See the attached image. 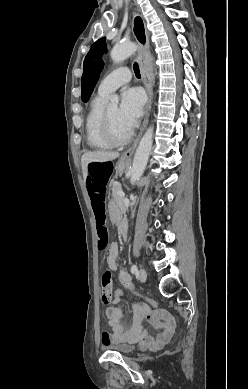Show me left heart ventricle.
<instances>
[{"label": "left heart ventricle", "mask_w": 248, "mask_h": 389, "mask_svg": "<svg viewBox=\"0 0 248 389\" xmlns=\"http://www.w3.org/2000/svg\"><path fill=\"white\" fill-rule=\"evenodd\" d=\"M107 110H108L114 131L116 132V134L119 136H125L126 134H128L129 129L120 120L119 108L118 107H111V108H108Z\"/></svg>", "instance_id": "b2bd125f"}]
</instances>
